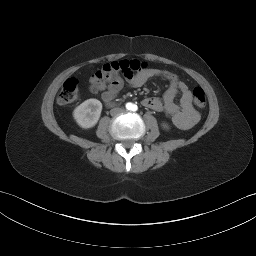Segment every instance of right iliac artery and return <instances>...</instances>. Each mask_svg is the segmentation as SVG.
Listing matches in <instances>:
<instances>
[{"mask_svg": "<svg viewBox=\"0 0 256 256\" xmlns=\"http://www.w3.org/2000/svg\"><path fill=\"white\" fill-rule=\"evenodd\" d=\"M131 107H132V104L131 103H127L126 104V108L129 110V109H131Z\"/></svg>", "mask_w": 256, "mask_h": 256, "instance_id": "obj_1", "label": "right iliac artery"}]
</instances>
